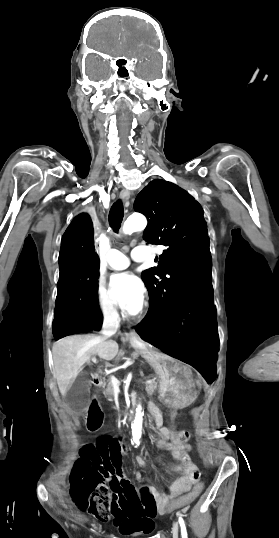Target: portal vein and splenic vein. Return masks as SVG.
Masks as SVG:
<instances>
[{
	"mask_svg": "<svg viewBox=\"0 0 279 538\" xmlns=\"http://www.w3.org/2000/svg\"><path fill=\"white\" fill-rule=\"evenodd\" d=\"M91 360L92 364H97L98 356L95 353H92ZM111 380L114 387L122 385V380H117V378H114V376H111ZM144 383H153V380H144Z\"/></svg>",
	"mask_w": 279,
	"mask_h": 538,
	"instance_id": "obj_1",
	"label": "portal vein and splenic vein"
}]
</instances>
